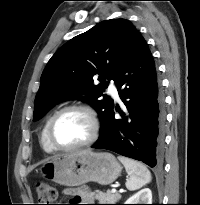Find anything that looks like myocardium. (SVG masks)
<instances>
[{"mask_svg":"<svg viewBox=\"0 0 200 205\" xmlns=\"http://www.w3.org/2000/svg\"><path fill=\"white\" fill-rule=\"evenodd\" d=\"M68 111H81L85 113L90 123V133L85 140L77 144H74L71 146H61L55 142L52 131H53V126L56 120L62 114ZM100 130H101V123H100V119H99V115L97 111L91 105H88L85 103H73V104H69L67 106L62 107L61 109H59L57 112H55L52 115L48 123V126H47V138H48L50 145L54 148V150L72 151V150H77V149L93 144L98 139L100 135Z\"/></svg>","mask_w":200,"mask_h":205,"instance_id":"myocardium-1","label":"myocardium"}]
</instances>
